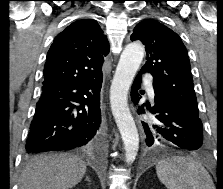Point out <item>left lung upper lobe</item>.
Listing matches in <instances>:
<instances>
[{"mask_svg":"<svg viewBox=\"0 0 223 189\" xmlns=\"http://www.w3.org/2000/svg\"><path fill=\"white\" fill-rule=\"evenodd\" d=\"M131 40L145 45L147 61L141 70L153 75L166 100L198 116L190 61L181 38L158 21L144 20L134 28Z\"/></svg>","mask_w":223,"mask_h":189,"instance_id":"1","label":"left lung upper lobe"}]
</instances>
